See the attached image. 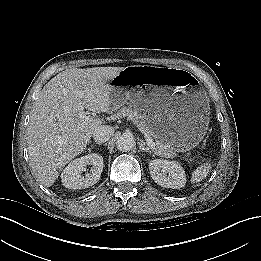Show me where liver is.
<instances>
[{"instance_id":"obj_1","label":"liver","mask_w":261,"mask_h":261,"mask_svg":"<svg viewBox=\"0 0 261 261\" xmlns=\"http://www.w3.org/2000/svg\"><path fill=\"white\" fill-rule=\"evenodd\" d=\"M124 67L71 68L52 78L40 92L27 127L29 162L38 181L50 187L61 170L82 153L103 120L85 123L80 105L105 113L112 109L110 82Z\"/></svg>"}]
</instances>
